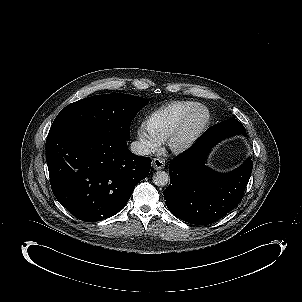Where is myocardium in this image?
<instances>
[{
  "label": "myocardium",
  "mask_w": 302,
  "mask_h": 302,
  "mask_svg": "<svg viewBox=\"0 0 302 302\" xmlns=\"http://www.w3.org/2000/svg\"><path fill=\"white\" fill-rule=\"evenodd\" d=\"M199 113L204 115L201 123L189 135L184 137L182 140L177 141L179 134L182 132L187 122ZM210 118L211 116L209 110L205 106L197 105L191 111L186 113L181 118L180 122L175 126V128L169 133L165 142L167 149L176 155L187 151L205 132L210 123Z\"/></svg>",
  "instance_id": "f54148a6"
}]
</instances>
